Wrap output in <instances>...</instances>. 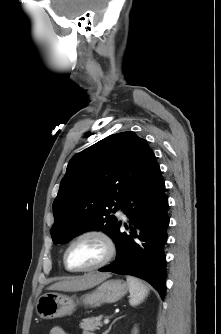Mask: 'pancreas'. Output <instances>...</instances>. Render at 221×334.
Instances as JSON below:
<instances>
[{"label": "pancreas", "mask_w": 221, "mask_h": 334, "mask_svg": "<svg viewBox=\"0 0 221 334\" xmlns=\"http://www.w3.org/2000/svg\"><path fill=\"white\" fill-rule=\"evenodd\" d=\"M101 318V316L85 318L80 323V327L85 331L99 330L102 326Z\"/></svg>", "instance_id": "1"}]
</instances>
